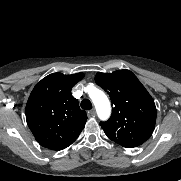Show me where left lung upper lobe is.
Returning <instances> with one entry per match:
<instances>
[{
    "label": "left lung upper lobe",
    "instance_id": "obj_1",
    "mask_svg": "<svg viewBox=\"0 0 181 181\" xmlns=\"http://www.w3.org/2000/svg\"><path fill=\"white\" fill-rule=\"evenodd\" d=\"M95 82L110 96L112 117L100 122L108 138L126 148L143 144L153 133L156 106L146 88L129 70L98 72Z\"/></svg>",
    "mask_w": 181,
    "mask_h": 181
}]
</instances>
